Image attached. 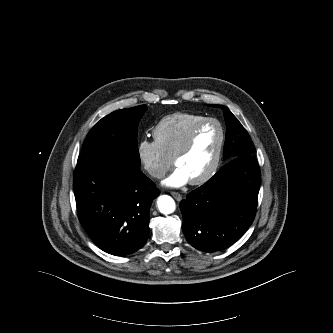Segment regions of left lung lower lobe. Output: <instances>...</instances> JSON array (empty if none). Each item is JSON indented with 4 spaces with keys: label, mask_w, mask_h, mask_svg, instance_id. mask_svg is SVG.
Returning <instances> with one entry per match:
<instances>
[{
    "label": "left lung lower lobe",
    "mask_w": 333,
    "mask_h": 333,
    "mask_svg": "<svg viewBox=\"0 0 333 333\" xmlns=\"http://www.w3.org/2000/svg\"><path fill=\"white\" fill-rule=\"evenodd\" d=\"M260 170L253 155L228 161L204 185L180 203L187 241L205 252L223 250L252 224L257 207Z\"/></svg>",
    "instance_id": "obj_1"
}]
</instances>
